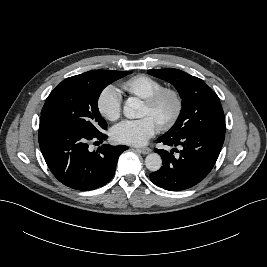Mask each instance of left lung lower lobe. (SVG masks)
Returning <instances> with one entry per match:
<instances>
[{"label":"left lung lower lobe","mask_w":267,"mask_h":267,"mask_svg":"<svg viewBox=\"0 0 267 267\" xmlns=\"http://www.w3.org/2000/svg\"><path fill=\"white\" fill-rule=\"evenodd\" d=\"M225 131L195 132L180 138L162 136L158 142L168 146L182 147L180 155L173 151L155 149L160 154L163 166L150 174V180L169 191H181L193 187L202 181L212 170L221 151Z\"/></svg>","instance_id":"1"}]
</instances>
